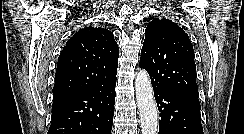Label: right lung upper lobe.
Here are the masks:
<instances>
[{
    "instance_id": "obj_1",
    "label": "right lung upper lobe",
    "mask_w": 244,
    "mask_h": 134,
    "mask_svg": "<svg viewBox=\"0 0 244 134\" xmlns=\"http://www.w3.org/2000/svg\"><path fill=\"white\" fill-rule=\"evenodd\" d=\"M118 45L102 27H86L73 35L58 58L53 96L102 86L116 77Z\"/></svg>"
}]
</instances>
